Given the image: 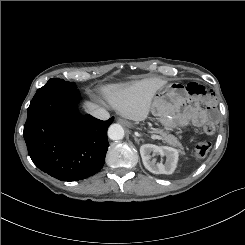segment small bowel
I'll use <instances>...</instances> for the list:
<instances>
[{"instance_id": "c3829d8e", "label": "small bowel", "mask_w": 245, "mask_h": 245, "mask_svg": "<svg viewBox=\"0 0 245 245\" xmlns=\"http://www.w3.org/2000/svg\"><path fill=\"white\" fill-rule=\"evenodd\" d=\"M186 89L189 94L194 96H205L208 94L206 88L197 82L188 83ZM194 110L193 122L195 125L200 126L208 119V112L200 109L197 105H194Z\"/></svg>"}]
</instances>
